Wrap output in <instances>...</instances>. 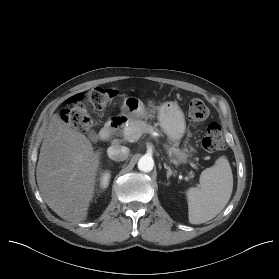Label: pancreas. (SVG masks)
I'll use <instances>...</instances> for the list:
<instances>
[{"instance_id": "1", "label": "pancreas", "mask_w": 279, "mask_h": 279, "mask_svg": "<svg viewBox=\"0 0 279 279\" xmlns=\"http://www.w3.org/2000/svg\"><path fill=\"white\" fill-rule=\"evenodd\" d=\"M154 130V127L150 126L143 120H135L130 122L128 125H126L122 130L118 132L119 135H123L124 138L126 137V134L129 132L128 139L132 141H136L139 139V137L143 133H149ZM168 151L171 154H176V149L174 147H171L168 149Z\"/></svg>"}]
</instances>
